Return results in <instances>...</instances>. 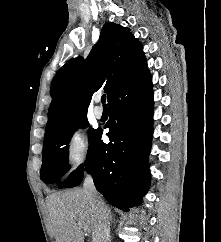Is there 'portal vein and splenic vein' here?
<instances>
[{
	"label": "portal vein and splenic vein",
	"instance_id": "portal-vein-and-splenic-vein-1",
	"mask_svg": "<svg viewBox=\"0 0 221 242\" xmlns=\"http://www.w3.org/2000/svg\"><path fill=\"white\" fill-rule=\"evenodd\" d=\"M84 231L88 232L87 228H84Z\"/></svg>",
	"mask_w": 221,
	"mask_h": 242
}]
</instances>
